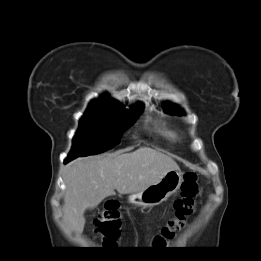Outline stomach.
I'll use <instances>...</instances> for the list:
<instances>
[{"label": "stomach", "instance_id": "stomach-1", "mask_svg": "<svg viewBox=\"0 0 261 261\" xmlns=\"http://www.w3.org/2000/svg\"><path fill=\"white\" fill-rule=\"evenodd\" d=\"M181 184V171L179 169L170 170L159 182L151 184L140 192L131 194L128 201L136 206H155L167 200L180 188Z\"/></svg>", "mask_w": 261, "mask_h": 261}]
</instances>
